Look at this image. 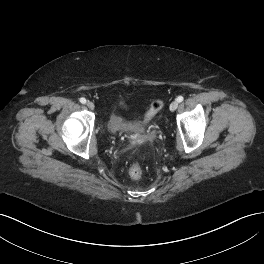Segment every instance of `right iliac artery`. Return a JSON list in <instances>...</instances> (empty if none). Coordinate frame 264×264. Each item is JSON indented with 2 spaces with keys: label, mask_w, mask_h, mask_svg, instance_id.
Listing matches in <instances>:
<instances>
[{
  "label": "right iliac artery",
  "mask_w": 264,
  "mask_h": 264,
  "mask_svg": "<svg viewBox=\"0 0 264 264\" xmlns=\"http://www.w3.org/2000/svg\"><path fill=\"white\" fill-rule=\"evenodd\" d=\"M80 102L82 103V104H85L86 103V99L85 98H80Z\"/></svg>",
  "instance_id": "obj_1"
}]
</instances>
